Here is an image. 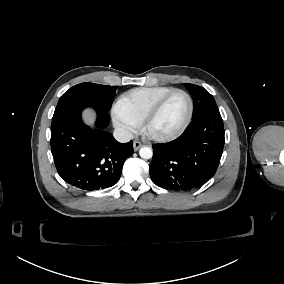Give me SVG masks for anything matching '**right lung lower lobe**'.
Returning <instances> with one entry per match:
<instances>
[{"mask_svg": "<svg viewBox=\"0 0 284 284\" xmlns=\"http://www.w3.org/2000/svg\"><path fill=\"white\" fill-rule=\"evenodd\" d=\"M84 106H73L53 115L51 151L58 174L67 183L93 191L115 185L124 161L133 154V142L121 144L104 130L108 112H97L96 128L81 119Z\"/></svg>", "mask_w": 284, "mask_h": 284, "instance_id": "98d812e1", "label": "right lung lower lobe"}]
</instances>
